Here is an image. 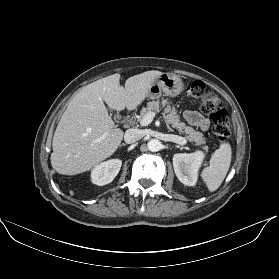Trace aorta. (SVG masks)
Instances as JSON below:
<instances>
[{"instance_id":"aorta-1","label":"aorta","mask_w":279,"mask_h":279,"mask_svg":"<svg viewBox=\"0 0 279 279\" xmlns=\"http://www.w3.org/2000/svg\"><path fill=\"white\" fill-rule=\"evenodd\" d=\"M161 142L158 139H151L148 144L147 147L151 152H157L161 149Z\"/></svg>"}]
</instances>
